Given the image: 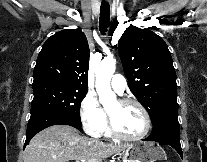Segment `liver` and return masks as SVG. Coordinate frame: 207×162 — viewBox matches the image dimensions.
<instances>
[{
    "label": "liver",
    "mask_w": 207,
    "mask_h": 162,
    "mask_svg": "<svg viewBox=\"0 0 207 162\" xmlns=\"http://www.w3.org/2000/svg\"><path fill=\"white\" fill-rule=\"evenodd\" d=\"M129 145L84 137L69 125H53L36 134L26 146L24 162H102Z\"/></svg>",
    "instance_id": "6515ba94"
}]
</instances>
